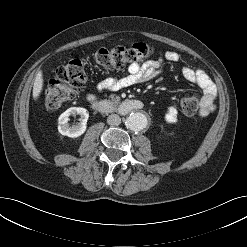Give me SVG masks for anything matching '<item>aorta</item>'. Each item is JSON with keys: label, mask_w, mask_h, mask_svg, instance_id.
<instances>
[{"label": "aorta", "mask_w": 247, "mask_h": 247, "mask_svg": "<svg viewBox=\"0 0 247 247\" xmlns=\"http://www.w3.org/2000/svg\"><path fill=\"white\" fill-rule=\"evenodd\" d=\"M126 126L132 131H141L146 128L148 120L141 112L131 113L126 119Z\"/></svg>", "instance_id": "obj_1"}]
</instances>
